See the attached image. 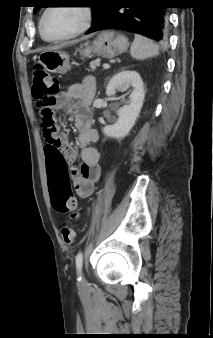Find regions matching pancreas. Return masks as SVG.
<instances>
[{"instance_id":"cf45deb5","label":"pancreas","mask_w":213,"mask_h":338,"mask_svg":"<svg viewBox=\"0 0 213 338\" xmlns=\"http://www.w3.org/2000/svg\"><path fill=\"white\" fill-rule=\"evenodd\" d=\"M96 66H97V63L96 62H92L91 65H90V68L92 70H95Z\"/></svg>"}]
</instances>
